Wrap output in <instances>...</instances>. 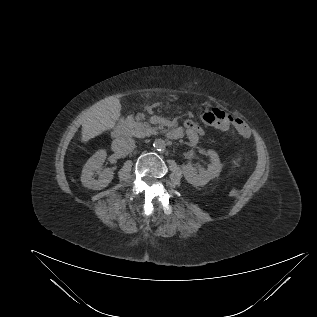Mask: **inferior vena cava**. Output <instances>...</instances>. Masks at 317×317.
<instances>
[{
	"label": "inferior vena cava",
	"instance_id": "inferior-vena-cava-1",
	"mask_svg": "<svg viewBox=\"0 0 317 317\" xmlns=\"http://www.w3.org/2000/svg\"><path fill=\"white\" fill-rule=\"evenodd\" d=\"M135 141L131 137L116 138L112 142V150L120 155H127L135 149Z\"/></svg>",
	"mask_w": 317,
	"mask_h": 317
}]
</instances>
